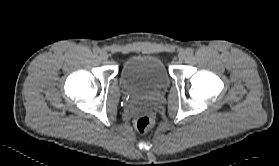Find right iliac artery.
Masks as SVG:
<instances>
[{
	"label": "right iliac artery",
	"mask_w": 279,
	"mask_h": 166,
	"mask_svg": "<svg viewBox=\"0 0 279 166\" xmlns=\"http://www.w3.org/2000/svg\"><path fill=\"white\" fill-rule=\"evenodd\" d=\"M93 52H94V53L100 52V48H99V47H94V48H93Z\"/></svg>",
	"instance_id": "1"
}]
</instances>
